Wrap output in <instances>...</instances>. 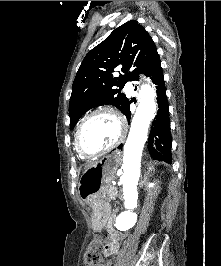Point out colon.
I'll return each mask as SVG.
<instances>
[{"label": "colon", "mask_w": 221, "mask_h": 266, "mask_svg": "<svg viewBox=\"0 0 221 266\" xmlns=\"http://www.w3.org/2000/svg\"><path fill=\"white\" fill-rule=\"evenodd\" d=\"M105 237L98 235L90 242L89 247L84 255L86 266H95L100 261V255L104 248Z\"/></svg>", "instance_id": "colon-1"}]
</instances>
